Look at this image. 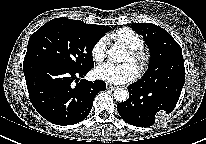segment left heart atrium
Masks as SVG:
<instances>
[{"label":"left heart atrium","instance_id":"left-heart-atrium-1","mask_svg":"<svg viewBox=\"0 0 206 144\" xmlns=\"http://www.w3.org/2000/svg\"><path fill=\"white\" fill-rule=\"evenodd\" d=\"M95 75L107 83L122 84L133 81L137 76V70L131 62L123 64L107 62L96 68Z\"/></svg>","mask_w":206,"mask_h":144}]
</instances>
